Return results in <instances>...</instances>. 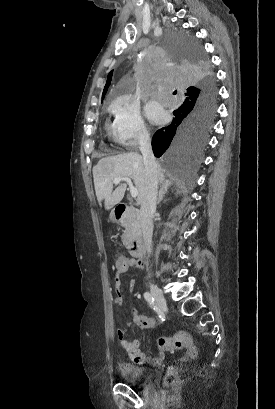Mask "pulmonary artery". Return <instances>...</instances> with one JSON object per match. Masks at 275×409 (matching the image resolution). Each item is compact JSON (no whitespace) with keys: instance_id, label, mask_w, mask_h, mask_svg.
<instances>
[{"instance_id":"1","label":"pulmonary artery","mask_w":275,"mask_h":409,"mask_svg":"<svg viewBox=\"0 0 275 409\" xmlns=\"http://www.w3.org/2000/svg\"><path fill=\"white\" fill-rule=\"evenodd\" d=\"M157 93H160V90H157Z\"/></svg>"}]
</instances>
